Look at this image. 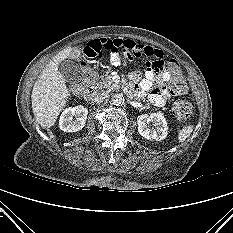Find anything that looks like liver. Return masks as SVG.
<instances>
[{
    "mask_svg": "<svg viewBox=\"0 0 233 233\" xmlns=\"http://www.w3.org/2000/svg\"><path fill=\"white\" fill-rule=\"evenodd\" d=\"M72 53L73 48L68 47L55 55L33 86L32 111L38 124L44 128L55 124L70 96L66 81L58 71V65Z\"/></svg>",
    "mask_w": 233,
    "mask_h": 233,
    "instance_id": "6515ba94",
    "label": "liver"
}]
</instances>
